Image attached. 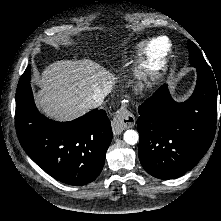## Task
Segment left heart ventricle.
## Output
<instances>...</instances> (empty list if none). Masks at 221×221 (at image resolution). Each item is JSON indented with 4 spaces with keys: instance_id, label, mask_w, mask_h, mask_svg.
Returning a JSON list of instances; mask_svg holds the SVG:
<instances>
[{
    "instance_id": "obj_1",
    "label": "left heart ventricle",
    "mask_w": 221,
    "mask_h": 221,
    "mask_svg": "<svg viewBox=\"0 0 221 221\" xmlns=\"http://www.w3.org/2000/svg\"><path fill=\"white\" fill-rule=\"evenodd\" d=\"M165 47H166V41L163 39L157 40L153 45V49L157 53L162 52L165 49Z\"/></svg>"
}]
</instances>
